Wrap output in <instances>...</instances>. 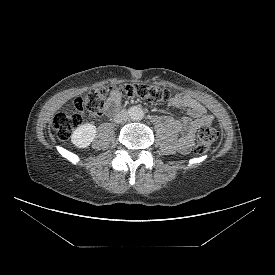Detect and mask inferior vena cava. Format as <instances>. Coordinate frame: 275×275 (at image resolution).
Here are the masks:
<instances>
[{"label":"inferior vena cava","mask_w":275,"mask_h":275,"mask_svg":"<svg viewBox=\"0 0 275 275\" xmlns=\"http://www.w3.org/2000/svg\"><path fill=\"white\" fill-rule=\"evenodd\" d=\"M129 118L128 111L122 110L114 117L115 123H123L126 122Z\"/></svg>","instance_id":"obj_1"}]
</instances>
